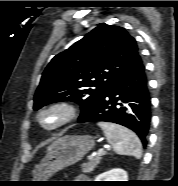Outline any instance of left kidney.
<instances>
[{"label":"left kidney","mask_w":178,"mask_h":186,"mask_svg":"<svg viewBox=\"0 0 178 186\" xmlns=\"http://www.w3.org/2000/svg\"><path fill=\"white\" fill-rule=\"evenodd\" d=\"M95 181H128V175L123 169L117 168L98 175Z\"/></svg>","instance_id":"left-kidney-1"}]
</instances>
